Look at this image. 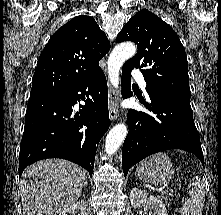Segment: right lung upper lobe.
Listing matches in <instances>:
<instances>
[{"mask_svg":"<svg viewBox=\"0 0 221 215\" xmlns=\"http://www.w3.org/2000/svg\"><path fill=\"white\" fill-rule=\"evenodd\" d=\"M110 43L95 20L74 17L59 28L40 54L30 99L51 95L89 77L100 69L99 61Z\"/></svg>","mask_w":221,"mask_h":215,"instance_id":"right-lung-upper-lobe-1","label":"right lung upper lobe"}]
</instances>
